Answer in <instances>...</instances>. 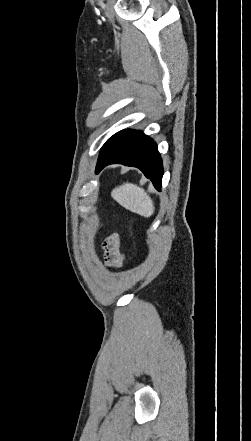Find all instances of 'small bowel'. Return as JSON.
I'll use <instances>...</instances> for the list:
<instances>
[{
	"label": "small bowel",
	"mask_w": 251,
	"mask_h": 441,
	"mask_svg": "<svg viewBox=\"0 0 251 441\" xmlns=\"http://www.w3.org/2000/svg\"><path fill=\"white\" fill-rule=\"evenodd\" d=\"M106 261L114 267L122 265L124 255L119 249L118 235H112L105 243Z\"/></svg>",
	"instance_id": "c3829d8e"
}]
</instances>
